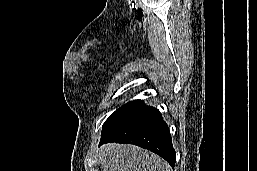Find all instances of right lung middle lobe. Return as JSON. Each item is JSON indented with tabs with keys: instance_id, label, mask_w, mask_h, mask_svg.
<instances>
[{
	"instance_id": "right-lung-middle-lobe-1",
	"label": "right lung middle lobe",
	"mask_w": 257,
	"mask_h": 171,
	"mask_svg": "<svg viewBox=\"0 0 257 171\" xmlns=\"http://www.w3.org/2000/svg\"><path fill=\"white\" fill-rule=\"evenodd\" d=\"M132 101H130V102H128V103H126V104H124V105H122L121 107H119L107 120H106V122L108 121V120H110L113 116H115L120 110H122L125 106H127L129 103H131ZM105 122V123H106ZM104 123V124H105Z\"/></svg>"
}]
</instances>
